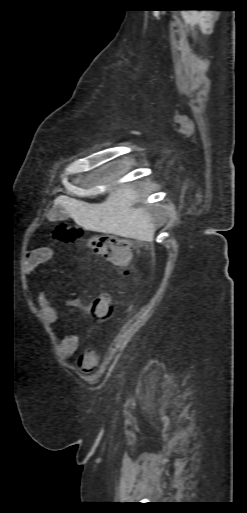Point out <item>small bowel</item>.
Wrapping results in <instances>:
<instances>
[{"label":"small bowel","mask_w":247,"mask_h":513,"mask_svg":"<svg viewBox=\"0 0 247 513\" xmlns=\"http://www.w3.org/2000/svg\"><path fill=\"white\" fill-rule=\"evenodd\" d=\"M51 255L49 248H42L29 254L25 258L24 273L30 276L43 262H45ZM99 300V299H95ZM37 302L39 304L40 314L43 322L52 326L58 317L56 309L50 303V300L44 290L37 294ZM92 303V302H91ZM90 304L85 303L82 299H73L72 306L79 308L89 316L93 317L90 312ZM94 318V317H93ZM79 338L77 335L69 334L64 336L59 342V355L63 359L71 357L78 349ZM96 363V356L93 353L85 354L79 361V368L83 372H88L93 369Z\"/></svg>","instance_id":"obj_1"}]
</instances>
